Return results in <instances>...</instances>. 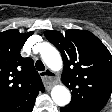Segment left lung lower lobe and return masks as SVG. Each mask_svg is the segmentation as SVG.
Instances as JSON below:
<instances>
[{
	"instance_id": "1",
	"label": "left lung lower lobe",
	"mask_w": 112,
	"mask_h": 112,
	"mask_svg": "<svg viewBox=\"0 0 112 112\" xmlns=\"http://www.w3.org/2000/svg\"><path fill=\"white\" fill-rule=\"evenodd\" d=\"M60 111L61 112H87V111H82V110L71 109L68 107H61Z\"/></svg>"
}]
</instances>
